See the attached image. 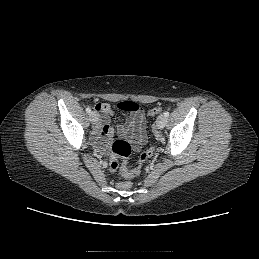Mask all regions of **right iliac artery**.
Listing matches in <instances>:
<instances>
[{
    "instance_id": "right-iliac-artery-1",
    "label": "right iliac artery",
    "mask_w": 259,
    "mask_h": 259,
    "mask_svg": "<svg viewBox=\"0 0 259 259\" xmlns=\"http://www.w3.org/2000/svg\"><path fill=\"white\" fill-rule=\"evenodd\" d=\"M86 112H87L88 114H90V113H91V109H90V107H87V108H86Z\"/></svg>"
}]
</instances>
